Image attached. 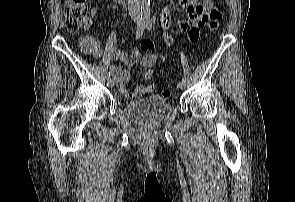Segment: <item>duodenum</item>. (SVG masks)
<instances>
[{
    "label": "duodenum",
    "mask_w": 295,
    "mask_h": 202,
    "mask_svg": "<svg viewBox=\"0 0 295 202\" xmlns=\"http://www.w3.org/2000/svg\"><path fill=\"white\" fill-rule=\"evenodd\" d=\"M117 1H119V2H126L127 0H117Z\"/></svg>",
    "instance_id": "duodenum-1"
}]
</instances>
